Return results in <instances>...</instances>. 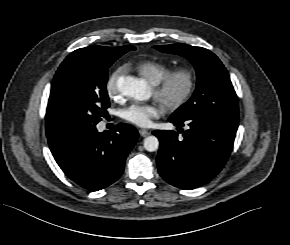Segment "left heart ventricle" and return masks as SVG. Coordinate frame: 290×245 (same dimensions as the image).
<instances>
[{
	"instance_id": "b2bd125f",
	"label": "left heart ventricle",
	"mask_w": 290,
	"mask_h": 245,
	"mask_svg": "<svg viewBox=\"0 0 290 245\" xmlns=\"http://www.w3.org/2000/svg\"><path fill=\"white\" fill-rule=\"evenodd\" d=\"M183 81L180 79V80H177L172 88V93L173 94H178L181 92L182 88H183Z\"/></svg>"
}]
</instances>
